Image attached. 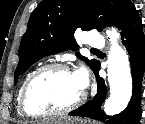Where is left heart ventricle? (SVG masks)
Instances as JSON below:
<instances>
[{
    "instance_id": "obj_1",
    "label": "left heart ventricle",
    "mask_w": 145,
    "mask_h": 124,
    "mask_svg": "<svg viewBox=\"0 0 145 124\" xmlns=\"http://www.w3.org/2000/svg\"><path fill=\"white\" fill-rule=\"evenodd\" d=\"M74 74L51 70L39 77L28 95V106L33 112L63 108L82 94Z\"/></svg>"
}]
</instances>
